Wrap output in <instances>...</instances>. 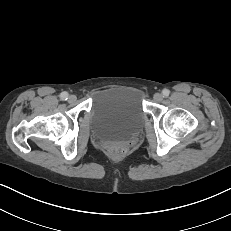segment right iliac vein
Listing matches in <instances>:
<instances>
[{"label":"right iliac vein","instance_id":"1","mask_svg":"<svg viewBox=\"0 0 231 231\" xmlns=\"http://www.w3.org/2000/svg\"><path fill=\"white\" fill-rule=\"evenodd\" d=\"M76 96L75 95H70L69 97H68V100H69V102L70 103H74L75 101H76Z\"/></svg>","mask_w":231,"mask_h":231}]
</instances>
